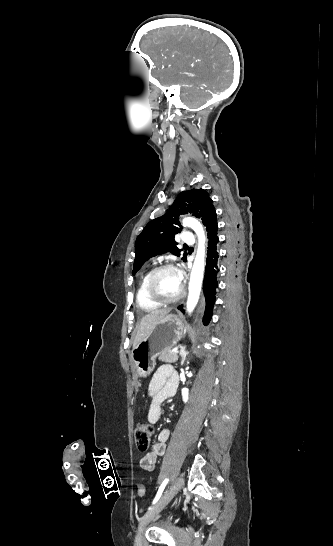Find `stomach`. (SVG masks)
Wrapping results in <instances>:
<instances>
[{
    "label": "stomach",
    "instance_id": "stomach-1",
    "mask_svg": "<svg viewBox=\"0 0 333 546\" xmlns=\"http://www.w3.org/2000/svg\"><path fill=\"white\" fill-rule=\"evenodd\" d=\"M182 321L178 315L168 314L132 351L137 374L147 377L153 371L156 358L174 347L182 337Z\"/></svg>",
    "mask_w": 333,
    "mask_h": 546
}]
</instances>
